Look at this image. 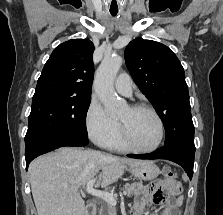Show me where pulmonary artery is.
I'll use <instances>...</instances> for the list:
<instances>
[{"label":"pulmonary artery","instance_id":"e3ab8cb5","mask_svg":"<svg viewBox=\"0 0 223 215\" xmlns=\"http://www.w3.org/2000/svg\"><path fill=\"white\" fill-rule=\"evenodd\" d=\"M132 86H133L132 80L126 74L119 75L114 82L115 89L119 93L124 94V95H130L131 94Z\"/></svg>","mask_w":223,"mask_h":215}]
</instances>
